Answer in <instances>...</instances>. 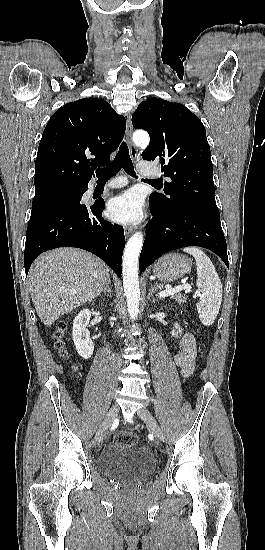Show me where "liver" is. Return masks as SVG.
<instances>
[{"mask_svg": "<svg viewBox=\"0 0 265 550\" xmlns=\"http://www.w3.org/2000/svg\"><path fill=\"white\" fill-rule=\"evenodd\" d=\"M29 291L46 326L96 298L110 282L109 267L93 254L76 248H57L32 264Z\"/></svg>", "mask_w": 265, "mask_h": 550, "instance_id": "liver-1", "label": "liver"}]
</instances>
